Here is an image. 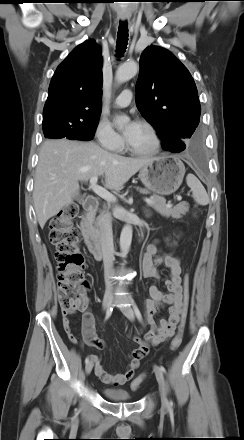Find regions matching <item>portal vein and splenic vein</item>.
Masks as SVG:
<instances>
[{
  "mask_svg": "<svg viewBox=\"0 0 244 440\" xmlns=\"http://www.w3.org/2000/svg\"><path fill=\"white\" fill-rule=\"evenodd\" d=\"M98 181V176H94L90 179V189H92V191L97 194L99 197H101L102 199L106 200L107 202H115L117 199L116 197L110 193L109 191H107L106 189H104L103 187L99 186L97 184ZM178 200H181L182 197L181 196H177ZM144 201L150 205L153 204L154 201L150 198H144ZM169 206V205H168Z\"/></svg>",
  "mask_w": 244,
  "mask_h": 440,
  "instance_id": "1",
  "label": "portal vein and splenic vein"
}]
</instances>
